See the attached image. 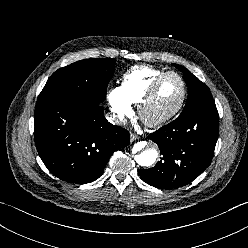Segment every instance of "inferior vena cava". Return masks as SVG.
<instances>
[{
    "label": "inferior vena cava",
    "instance_id": "obj_1",
    "mask_svg": "<svg viewBox=\"0 0 248 248\" xmlns=\"http://www.w3.org/2000/svg\"><path fill=\"white\" fill-rule=\"evenodd\" d=\"M106 119L114 125H123L126 123V119L122 114H107Z\"/></svg>",
    "mask_w": 248,
    "mask_h": 248
}]
</instances>
